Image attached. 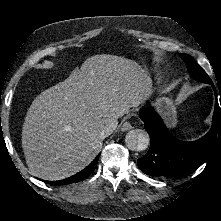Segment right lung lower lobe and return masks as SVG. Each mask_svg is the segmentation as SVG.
Listing matches in <instances>:
<instances>
[{"label": "right lung lower lobe", "instance_id": "1", "mask_svg": "<svg viewBox=\"0 0 221 221\" xmlns=\"http://www.w3.org/2000/svg\"><path fill=\"white\" fill-rule=\"evenodd\" d=\"M99 156L100 154H98L97 157L86 168H84L82 171L78 172L77 174L69 178L59 180V181H45V182L48 184H52V185H68V184L82 181L88 178L90 174L95 170L97 166V162L99 160Z\"/></svg>", "mask_w": 221, "mask_h": 221}]
</instances>
